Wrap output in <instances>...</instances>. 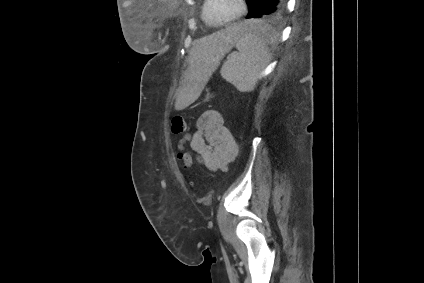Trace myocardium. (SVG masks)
<instances>
[{
  "instance_id": "f54148a6",
  "label": "myocardium",
  "mask_w": 424,
  "mask_h": 283,
  "mask_svg": "<svg viewBox=\"0 0 424 283\" xmlns=\"http://www.w3.org/2000/svg\"><path fill=\"white\" fill-rule=\"evenodd\" d=\"M211 3V0H205L204 2V8H203V18L206 21L207 24H209L210 26H214V27H218V26H222L225 24H228L230 22H233L235 20H238L239 18H241L247 11V0H238V5H239V9L237 11V13L229 18L220 20V21H216V22H212L209 20L208 18V7Z\"/></svg>"
}]
</instances>
